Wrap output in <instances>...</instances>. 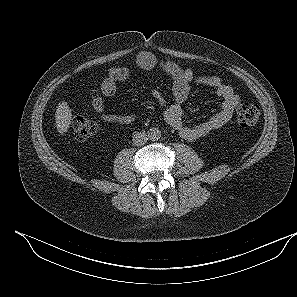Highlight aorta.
<instances>
[{
	"label": "aorta",
	"mask_w": 297,
	"mask_h": 297,
	"mask_svg": "<svg viewBox=\"0 0 297 297\" xmlns=\"http://www.w3.org/2000/svg\"><path fill=\"white\" fill-rule=\"evenodd\" d=\"M148 137L152 141H156L161 137V131L158 128L152 127L148 130Z\"/></svg>",
	"instance_id": "762f6f07"
}]
</instances>
